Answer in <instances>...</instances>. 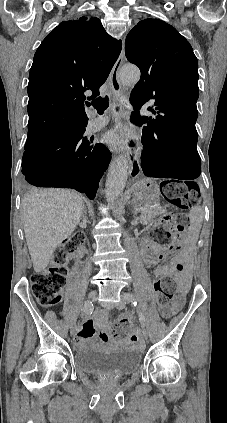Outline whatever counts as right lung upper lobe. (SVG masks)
I'll list each match as a JSON object with an SVG mask.
<instances>
[{"mask_svg":"<svg viewBox=\"0 0 227 423\" xmlns=\"http://www.w3.org/2000/svg\"><path fill=\"white\" fill-rule=\"evenodd\" d=\"M121 48V41L109 36L98 18L85 16L61 22L43 40L29 74L31 117L25 150L83 123L84 92L92 91L90 100L99 95V87L106 81ZM41 106L56 108L58 113L32 118Z\"/></svg>","mask_w":227,"mask_h":423,"instance_id":"cb5924a9","label":"right lung upper lobe"}]
</instances>
